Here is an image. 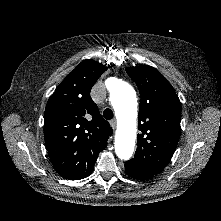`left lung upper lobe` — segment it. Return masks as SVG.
<instances>
[{
    "instance_id": "1",
    "label": "left lung upper lobe",
    "mask_w": 221,
    "mask_h": 221,
    "mask_svg": "<svg viewBox=\"0 0 221 221\" xmlns=\"http://www.w3.org/2000/svg\"><path fill=\"white\" fill-rule=\"evenodd\" d=\"M140 92L137 149L125 171L154 177L172 158L180 137L181 103L172 85L151 66L128 67Z\"/></svg>"
}]
</instances>
